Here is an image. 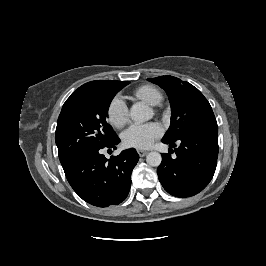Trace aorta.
<instances>
[{
  "label": "aorta",
  "mask_w": 266,
  "mask_h": 266,
  "mask_svg": "<svg viewBox=\"0 0 266 266\" xmlns=\"http://www.w3.org/2000/svg\"><path fill=\"white\" fill-rule=\"evenodd\" d=\"M152 110L142 102H137L130 109V118L138 123L148 121L152 118ZM162 157L158 152H149L146 156V162L150 166L157 167L161 164Z\"/></svg>",
  "instance_id": "1"
}]
</instances>
